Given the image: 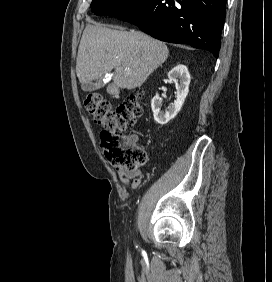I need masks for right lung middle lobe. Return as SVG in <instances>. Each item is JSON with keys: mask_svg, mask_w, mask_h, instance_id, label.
Segmentation results:
<instances>
[{"mask_svg": "<svg viewBox=\"0 0 272 282\" xmlns=\"http://www.w3.org/2000/svg\"><path fill=\"white\" fill-rule=\"evenodd\" d=\"M137 1L138 0H93L91 3V11L95 15H112Z\"/></svg>", "mask_w": 272, "mask_h": 282, "instance_id": "right-lung-middle-lobe-1", "label": "right lung middle lobe"}]
</instances>
